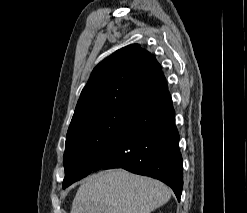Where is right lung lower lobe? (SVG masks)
Wrapping results in <instances>:
<instances>
[{
    "instance_id": "1",
    "label": "right lung lower lobe",
    "mask_w": 247,
    "mask_h": 213,
    "mask_svg": "<svg viewBox=\"0 0 247 213\" xmlns=\"http://www.w3.org/2000/svg\"><path fill=\"white\" fill-rule=\"evenodd\" d=\"M168 86L131 100L130 113L93 171L123 168L169 185L178 200L183 187L179 133Z\"/></svg>"
}]
</instances>
